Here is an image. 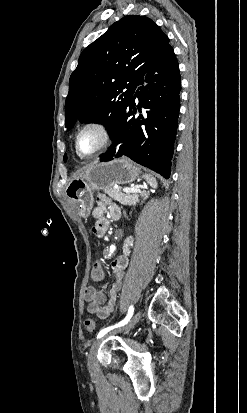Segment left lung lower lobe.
<instances>
[{"instance_id":"1","label":"left lung lower lobe","mask_w":247,"mask_h":413,"mask_svg":"<svg viewBox=\"0 0 247 413\" xmlns=\"http://www.w3.org/2000/svg\"><path fill=\"white\" fill-rule=\"evenodd\" d=\"M137 86L111 136L117 148H110L100 156V160L111 161L113 156H127L169 178L181 90L179 65L172 47L160 55ZM136 97L139 100L137 108ZM136 112L143 114L130 119Z\"/></svg>"}]
</instances>
